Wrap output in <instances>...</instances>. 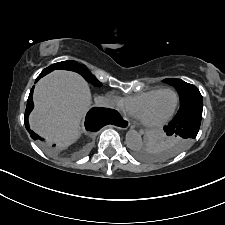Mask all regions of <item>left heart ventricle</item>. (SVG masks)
<instances>
[{
  "label": "left heart ventricle",
  "instance_id": "obj_1",
  "mask_svg": "<svg viewBox=\"0 0 225 225\" xmlns=\"http://www.w3.org/2000/svg\"><path fill=\"white\" fill-rule=\"evenodd\" d=\"M176 104V96L173 92L167 91L160 94L149 107L145 114L148 123H157L167 118Z\"/></svg>",
  "mask_w": 225,
  "mask_h": 225
}]
</instances>
